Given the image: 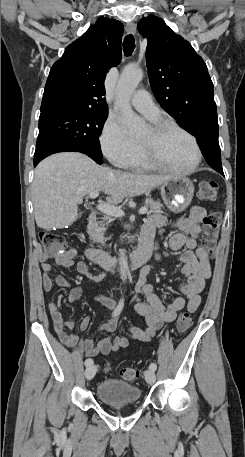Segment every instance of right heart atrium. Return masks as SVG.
<instances>
[{
    "instance_id": "obj_1",
    "label": "right heart atrium",
    "mask_w": 245,
    "mask_h": 457,
    "mask_svg": "<svg viewBox=\"0 0 245 457\" xmlns=\"http://www.w3.org/2000/svg\"><path fill=\"white\" fill-rule=\"evenodd\" d=\"M100 143L105 156L115 164H123L136 150L135 142L127 135L121 121L108 117L102 128Z\"/></svg>"
}]
</instances>
